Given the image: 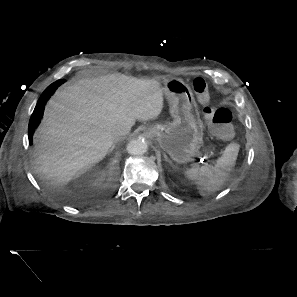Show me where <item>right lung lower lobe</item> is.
I'll use <instances>...</instances> for the list:
<instances>
[{"label": "right lung lower lobe", "instance_id": "1", "mask_svg": "<svg viewBox=\"0 0 297 297\" xmlns=\"http://www.w3.org/2000/svg\"><path fill=\"white\" fill-rule=\"evenodd\" d=\"M54 93V92H53ZM51 92H43V94L40 96L37 105L33 111V114L31 116V119L29 121V126H28V136L30 139V143L32 142V136L36 130V128L38 127V125L41 122V119L43 117V113H44V106L46 105V102L48 101V99L50 98V96L53 94Z\"/></svg>", "mask_w": 297, "mask_h": 297}]
</instances>
